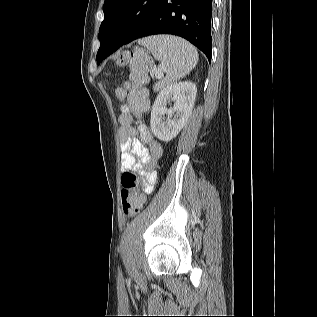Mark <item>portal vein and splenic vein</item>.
<instances>
[{"label":"portal vein and splenic vein","instance_id":"obj_1","mask_svg":"<svg viewBox=\"0 0 317 317\" xmlns=\"http://www.w3.org/2000/svg\"><path fill=\"white\" fill-rule=\"evenodd\" d=\"M155 77L160 79L163 77V73H161L160 71H155Z\"/></svg>","mask_w":317,"mask_h":317}]
</instances>
